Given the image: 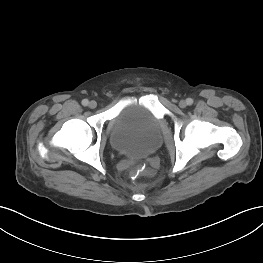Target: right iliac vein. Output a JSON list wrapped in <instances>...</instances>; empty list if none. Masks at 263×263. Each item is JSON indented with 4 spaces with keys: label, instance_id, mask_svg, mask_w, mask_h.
<instances>
[{
    "label": "right iliac vein",
    "instance_id": "1",
    "mask_svg": "<svg viewBox=\"0 0 263 263\" xmlns=\"http://www.w3.org/2000/svg\"><path fill=\"white\" fill-rule=\"evenodd\" d=\"M88 106H89L91 109H94V108H96L97 103H96V101L92 100V101L89 102Z\"/></svg>",
    "mask_w": 263,
    "mask_h": 263
}]
</instances>
